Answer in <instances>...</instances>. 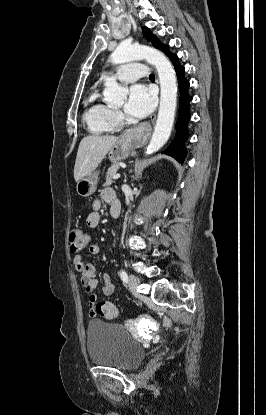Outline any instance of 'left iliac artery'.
Instances as JSON below:
<instances>
[{"instance_id": "left-iliac-artery-1", "label": "left iliac artery", "mask_w": 266, "mask_h": 415, "mask_svg": "<svg viewBox=\"0 0 266 415\" xmlns=\"http://www.w3.org/2000/svg\"><path fill=\"white\" fill-rule=\"evenodd\" d=\"M120 277L122 279L123 282L127 283L128 282V275L126 273V271L121 270L120 271Z\"/></svg>"}]
</instances>
